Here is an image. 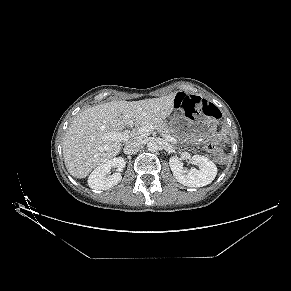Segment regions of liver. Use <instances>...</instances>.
<instances>
[{
  "mask_svg": "<svg viewBox=\"0 0 291 291\" xmlns=\"http://www.w3.org/2000/svg\"><path fill=\"white\" fill-rule=\"evenodd\" d=\"M176 93L139 101H112L80 112L63 140L66 169L75 178H85L99 165L121 151L120 141L107 138L126 125L165 119L174 109Z\"/></svg>",
  "mask_w": 291,
  "mask_h": 291,
  "instance_id": "obj_1",
  "label": "liver"
}]
</instances>
